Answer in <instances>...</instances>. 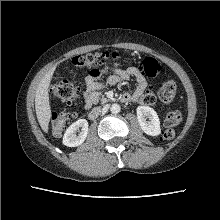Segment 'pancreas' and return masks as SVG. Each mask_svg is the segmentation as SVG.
Wrapping results in <instances>:
<instances>
[{
  "label": "pancreas",
  "mask_w": 220,
  "mask_h": 220,
  "mask_svg": "<svg viewBox=\"0 0 220 220\" xmlns=\"http://www.w3.org/2000/svg\"><path fill=\"white\" fill-rule=\"evenodd\" d=\"M107 101H108V100H107L106 98H103V99H102V102H103V103H105V102H107Z\"/></svg>",
  "instance_id": "cf45deb5"
}]
</instances>
